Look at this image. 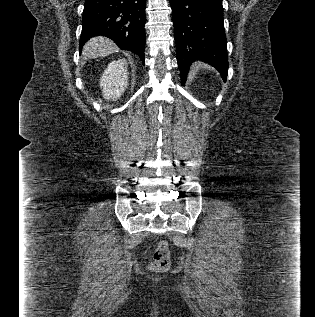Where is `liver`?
<instances>
[{
  "mask_svg": "<svg viewBox=\"0 0 315 317\" xmlns=\"http://www.w3.org/2000/svg\"><path fill=\"white\" fill-rule=\"evenodd\" d=\"M117 50L116 45L105 37H94L83 48V57L88 59L110 55Z\"/></svg>",
  "mask_w": 315,
  "mask_h": 317,
  "instance_id": "liver-1",
  "label": "liver"
}]
</instances>
